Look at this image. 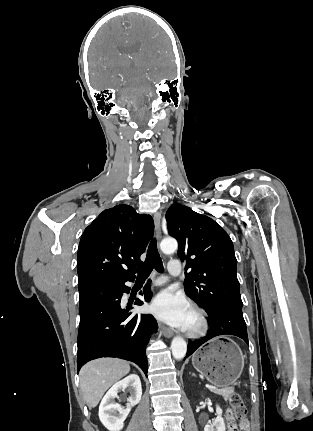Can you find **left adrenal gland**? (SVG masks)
I'll list each match as a JSON object with an SVG mask.
<instances>
[{
    "mask_svg": "<svg viewBox=\"0 0 313 431\" xmlns=\"http://www.w3.org/2000/svg\"><path fill=\"white\" fill-rule=\"evenodd\" d=\"M192 376H195V377H196V374H195V373H193V374H192Z\"/></svg>",
    "mask_w": 313,
    "mask_h": 431,
    "instance_id": "1",
    "label": "left adrenal gland"
}]
</instances>
